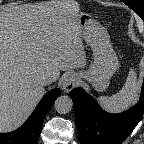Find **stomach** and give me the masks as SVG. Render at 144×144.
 I'll use <instances>...</instances> for the list:
<instances>
[{"instance_id": "stomach-1", "label": "stomach", "mask_w": 144, "mask_h": 144, "mask_svg": "<svg viewBox=\"0 0 144 144\" xmlns=\"http://www.w3.org/2000/svg\"><path fill=\"white\" fill-rule=\"evenodd\" d=\"M78 22L80 36L93 51V63L77 75L87 80L96 91L103 92L108 88L110 78L117 71L118 57L112 48L106 28L97 20L88 13L80 12Z\"/></svg>"}]
</instances>
